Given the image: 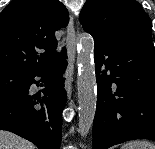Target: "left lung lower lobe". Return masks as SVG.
Returning <instances> with one entry per match:
<instances>
[{
  "instance_id": "left-lung-lower-lobe-1",
  "label": "left lung lower lobe",
  "mask_w": 155,
  "mask_h": 149,
  "mask_svg": "<svg viewBox=\"0 0 155 149\" xmlns=\"http://www.w3.org/2000/svg\"><path fill=\"white\" fill-rule=\"evenodd\" d=\"M93 149L155 141V49L151 40L95 44Z\"/></svg>"
}]
</instances>
